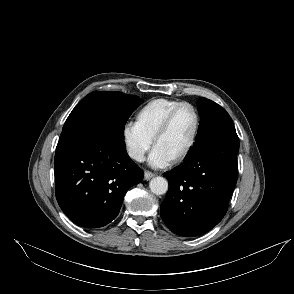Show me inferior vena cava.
I'll return each mask as SVG.
<instances>
[{
  "mask_svg": "<svg viewBox=\"0 0 294 294\" xmlns=\"http://www.w3.org/2000/svg\"><path fill=\"white\" fill-rule=\"evenodd\" d=\"M128 154L131 158L135 159L136 161H139V162L144 161V153L140 150L129 149Z\"/></svg>",
  "mask_w": 294,
  "mask_h": 294,
  "instance_id": "1",
  "label": "inferior vena cava"
}]
</instances>
